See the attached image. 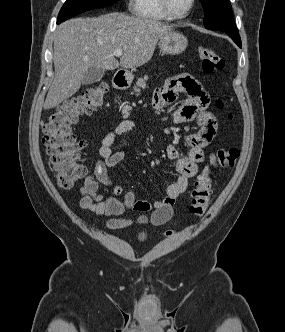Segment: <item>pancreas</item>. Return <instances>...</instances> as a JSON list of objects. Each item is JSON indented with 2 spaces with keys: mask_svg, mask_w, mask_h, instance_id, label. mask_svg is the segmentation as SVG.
Instances as JSON below:
<instances>
[{
  "mask_svg": "<svg viewBox=\"0 0 285 332\" xmlns=\"http://www.w3.org/2000/svg\"><path fill=\"white\" fill-rule=\"evenodd\" d=\"M146 79H147V76H145L144 79L139 78L138 81L136 82V86H134V91L137 93V95H139L140 88L144 89L146 87V83H145ZM120 109L122 110L123 113H127L128 111L131 110V107L128 105H121Z\"/></svg>",
  "mask_w": 285,
  "mask_h": 332,
  "instance_id": "1",
  "label": "pancreas"
}]
</instances>
